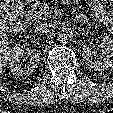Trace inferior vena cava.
<instances>
[{
	"label": "inferior vena cava",
	"instance_id": "1",
	"mask_svg": "<svg viewBox=\"0 0 113 113\" xmlns=\"http://www.w3.org/2000/svg\"><path fill=\"white\" fill-rule=\"evenodd\" d=\"M51 28H52L51 23H43V24L36 26L35 32L44 34V33H48L51 30Z\"/></svg>",
	"mask_w": 113,
	"mask_h": 113
}]
</instances>
